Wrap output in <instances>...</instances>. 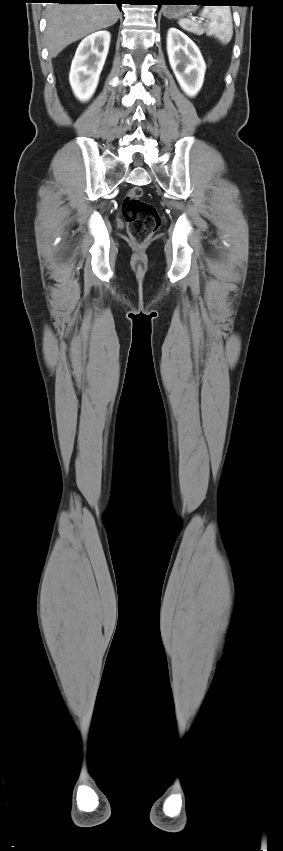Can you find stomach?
Returning <instances> with one entry per match:
<instances>
[{"mask_svg": "<svg viewBox=\"0 0 283 851\" xmlns=\"http://www.w3.org/2000/svg\"><path fill=\"white\" fill-rule=\"evenodd\" d=\"M183 2H186V3H183V4H194L195 1L184 0ZM195 9H196V6H193V5H170V6H164L163 9H162V12H163L165 17L177 18V17L185 16L188 13L194 11Z\"/></svg>", "mask_w": 283, "mask_h": 851, "instance_id": "obj_1", "label": "stomach"}]
</instances>
